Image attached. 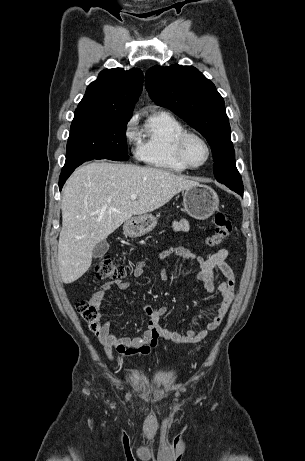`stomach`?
<instances>
[{
    "label": "stomach",
    "instance_id": "obj_1",
    "mask_svg": "<svg viewBox=\"0 0 305 461\" xmlns=\"http://www.w3.org/2000/svg\"><path fill=\"white\" fill-rule=\"evenodd\" d=\"M184 211L198 220H205L214 214L219 207L216 192L206 185L198 184L187 188L182 193ZM157 225V218L152 214L136 216L125 222L124 234L136 238L152 231Z\"/></svg>",
    "mask_w": 305,
    "mask_h": 461
}]
</instances>
